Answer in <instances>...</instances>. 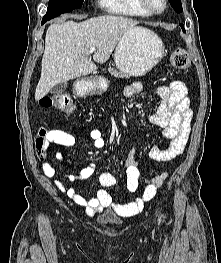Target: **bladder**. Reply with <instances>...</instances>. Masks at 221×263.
<instances>
[{
	"mask_svg": "<svg viewBox=\"0 0 221 263\" xmlns=\"http://www.w3.org/2000/svg\"><path fill=\"white\" fill-rule=\"evenodd\" d=\"M98 220H99V222L104 223V224H118V223H120V220L117 217L110 215V214L103 215V216L99 217Z\"/></svg>",
	"mask_w": 221,
	"mask_h": 263,
	"instance_id": "obj_1",
	"label": "bladder"
}]
</instances>
